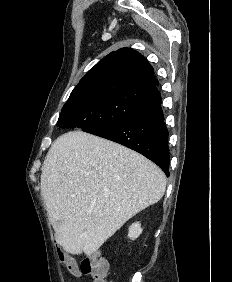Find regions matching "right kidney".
Segmentation results:
<instances>
[{"mask_svg": "<svg viewBox=\"0 0 232 282\" xmlns=\"http://www.w3.org/2000/svg\"><path fill=\"white\" fill-rule=\"evenodd\" d=\"M142 233L141 224L139 222L134 223L129 228L128 237L131 239H136Z\"/></svg>", "mask_w": 232, "mask_h": 282, "instance_id": "obj_1", "label": "right kidney"}]
</instances>
